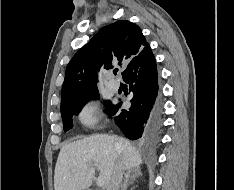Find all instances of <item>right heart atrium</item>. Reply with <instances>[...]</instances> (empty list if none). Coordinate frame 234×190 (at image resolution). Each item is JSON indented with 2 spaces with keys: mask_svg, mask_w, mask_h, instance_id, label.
I'll return each instance as SVG.
<instances>
[{
  "mask_svg": "<svg viewBox=\"0 0 234 190\" xmlns=\"http://www.w3.org/2000/svg\"><path fill=\"white\" fill-rule=\"evenodd\" d=\"M78 119L85 126H95L99 121L96 105L92 102L83 104L78 112Z\"/></svg>",
  "mask_w": 234,
  "mask_h": 190,
  "instance_id": "d8ad5b80",
  "label": "right heart atrium"
}]
</instances>
